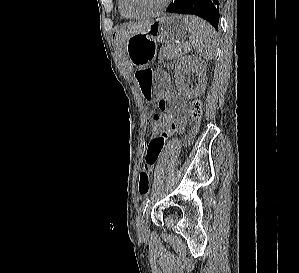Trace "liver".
I'll return each mask as SVG.
<instances>
[{
	"mask_svg": "<svg viewBox=\"0 0 299 273\" xmlns=\"http://www.w3.org/2000/svg\"><path fill=\"white\" fill-rule=\"evenodd\" d=\"M153 21H143V22H135V23H127L123 24L119 27L116 37H115V45L116 49L118 51V54L120 58L124 61L125 65L131 69L132 63L129 60L127 50H126V44L128 39L139 32H144L149 29Z\"/></svg>",
	"mask_w": 299,
	"mask_h": 273,
	"instance_id": "1",
	"label": "liver"
}]
</instances>
